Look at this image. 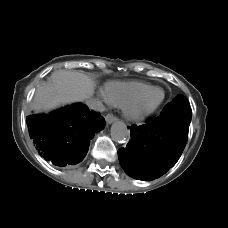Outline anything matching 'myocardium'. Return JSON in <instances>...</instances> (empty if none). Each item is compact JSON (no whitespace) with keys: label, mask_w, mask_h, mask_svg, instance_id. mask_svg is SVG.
<instances>
[{"label":"myocardium","mask_w":228,"mask_h":228,"mask_svg":"<svg viewBox=\"0 0 228 228\" xmlns=\"http://www.w3.org/2000/svg\"><path fill=\"white\" fill-rule=\"evenodd\" d=\"M153 90H160L162 95L160 100L153 106L151 107H141L139 105L141 99L148 94L149 92L153 91ZM165 99V91L158 86H150L149 88H147L146 90L142 91L141 93H139L138 95H136L135 97H133L131 100H129L128 102H126L123 106V113L124 115L132 120V121H140L143 120L144 118H146L147 116H149L150 114H152L153 112H155L163 103Z\"/></svg>","instance_id":"obj_1"}]
</instances>
